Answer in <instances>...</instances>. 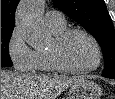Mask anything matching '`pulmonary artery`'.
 Instances as JSON below:
<instances>
[{
    "label": "pulmonary artery",
    "mask_w": 115,
    "mask_h": 99,
    "mask_svg": "<svg viewBox=\"0 0 115 99\" xmlns=\"http://www.w3.org/2000/svg\"><path fill=\"white\" fill-rule=\"evenodd\" d=\"M44 19L47 25L60 26L65 24L64 15L59 11L46 12Z\"/></svg>",
    "instance_id": "e3ab8cb5"
}]
</instances>
